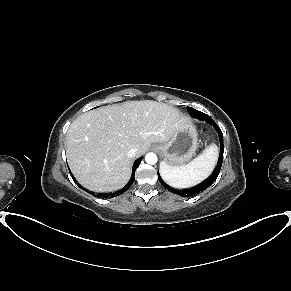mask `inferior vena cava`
Here are the masks:
<instances>
[{"instance_id":"obj_1","label":"inferior vena cava","mask_w":291,"mask_h":291,"mask_svg":"<svg viewBox=\"0 0 291 291\" xmlns=\"http://www.w3.org/2000/svg\"><path fill=\"white\" fill-rule=\"evenodd\" d=\"M137 155V148L132 147L128 152H127V156L129 158H134Z\"/></svg>"}]
</instances>
